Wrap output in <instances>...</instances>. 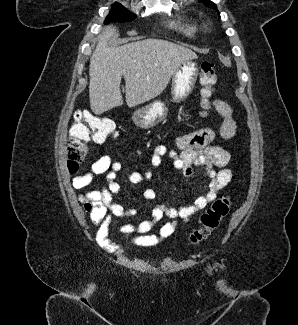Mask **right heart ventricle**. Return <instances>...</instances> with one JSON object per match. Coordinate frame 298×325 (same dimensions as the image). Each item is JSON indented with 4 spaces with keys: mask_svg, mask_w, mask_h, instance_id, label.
Masks as SVG:
<instances>
[{
    "mask_svg": "<svg viewBox=\"0 0 298 325\" xmlns=\"http://www.w3.org/2000/svg\"><path fill=\"white\" fill-rule=\"evenodd\" d=\"M169 27L180 35L190 39L196 38L200 32L198 21L188 15H182L173 19L169 23Z\"/></svg>",
    "mask_w": 298,
    "mask_h": 325,
    "instance_id": "e07e8e85",
    "label": "right heart ventricle"
}]
</instances>
